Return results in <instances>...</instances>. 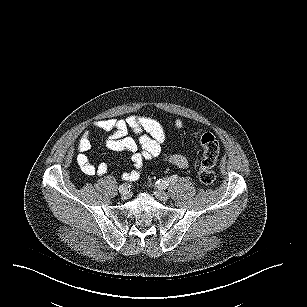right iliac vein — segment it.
<instances>
[{"label":"right iliac vein","mask_w":307,"mask_h":307,"mask_svg":"<svg viewBox=\"0 0 307 307\" xmlns=\"http://www.w3.org/2000/svg\"><path fill=\"white\" fill-rule=\"evenodd\" d=\"M119 191L121 193V198L123 200H126V199H128L130 197V193L128 192L127 187H125L124 190L122 188H120Z\"/></svg>","instance_id":"right-iliac-vein-1"}]
</instances>
